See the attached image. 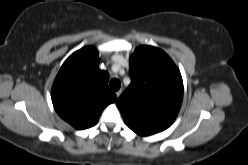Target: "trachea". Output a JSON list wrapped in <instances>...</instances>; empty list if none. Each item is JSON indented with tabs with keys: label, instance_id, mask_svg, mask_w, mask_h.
<instances>
[{
	"label": "trachea",
	"instance_id": "3493384b",
	"mask_svg": "<svg viewBox=\"0 0 248 165\" xmlns=\"http://www.w3.org/2000/svg\"><path fill=\"white\" fill-rule=\"evenodd\" d=\"M109 86L112 91H118L120 89L121 83L118 79H112L109 83Z\"/></svg>",
	"mask_w": 248,
	"mask_h": 165
}]
</instances>
